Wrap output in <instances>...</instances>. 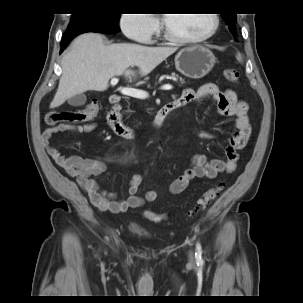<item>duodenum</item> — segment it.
I'll return each mask as SVG.
<instances>
[{
    "instance_id": "1",
    "label": "duodenum",
    "mask_w": 303,
    "mask_h": 303,
    "mask_svg": "<svg viewBox=\"0 0 303 303\" xmlns=\"http://www.w3.org/2000/svg\"><path fill=\"white\" fill-rule=\"evenodd\" d=\"M111 109L108 113V121L110 122L114 133L122 139H130L134 136L135 131L132 127L125 125L121 120V97L113 94L110 96ZM178 101H172L163 106L157 113L155 120L151 123V128L161 125L163 120L175 109L179 108Z\"/></svg>"
}]
</instances>
